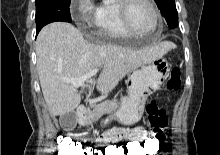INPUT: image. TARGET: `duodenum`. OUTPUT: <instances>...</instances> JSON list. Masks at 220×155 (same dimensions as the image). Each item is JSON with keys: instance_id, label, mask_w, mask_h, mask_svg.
Returning a JSON list of instances; mask_svg holds the SVG:
<instances>
[{"instance_id": "duodenum-1", "label": "duodenum", "mask_w": 220, "mask_h": 155, "mask_svg": "<svg viewBox=\"0 0 220 155\" xmlns=\"http://www.w3.org/2000/svg\"><path fill=\"white\" fill-rule=\"evenodd\" d=\"M76 115H77L79 120L84 119L85 116L87 115V109L84 106H79L76 109Z\"/></svg>"}]
</instances>
